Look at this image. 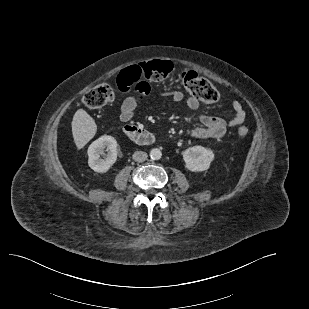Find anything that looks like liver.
<instances>
[{
	"instance_id": "6515ba94",
	"label": "liver",
	"mask_w": 309,
	"mask_h": 309,
	"mask_svg": "<svg viewBox=\"0 0 309 309\" xmlns=\"http://www.w3.org/2000/svg\"><path fill=\"white\" fill-rule=\"evenodd\" d=\"M72 134L77 149H82L96 134L94 119L83 109H78L72 120Z\"/></svg>"
}]
</instances>
